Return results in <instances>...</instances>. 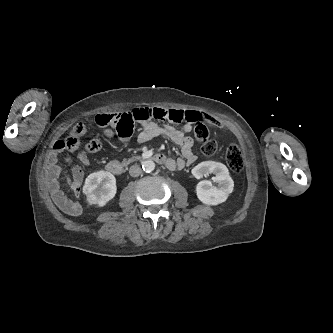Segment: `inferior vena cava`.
<instances>
[{
	"mask_svg": "<svg viewBox=\"0 0 333 333\" xmlns=\"http://www.w3.org/2000/svg\"><path fill=\"white\" fill-rule=\"evenodd\" d=\"M129 173L132 177H138L142 173V169L139 165H133L130 167Z\"/></svg>",
	"mask_w": 333,
	"mask_h": 333,
	"instance_id": "1",
	"label": "inferior vena cava"
}]
</instances>
